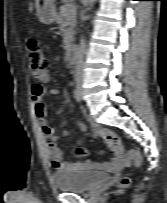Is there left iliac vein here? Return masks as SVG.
I'll return each instance as SVG.
<instances>
[{
	"label": "left iliac vein",
	"mask_w": 167,
	"mask_h": 203,
	"mask_svg": "<svg viewBox=\"0 0 167 203\" xmlns=\"http://www.w3.org/2000/svg\"><path fill=\"white\" fill-rule=\"evenodd\" d=\"M80 91V95L81 97L83 96V92H82V89L79 90Z\"/></svg>",
	"instance_id": "4c4485c4"
}]
</instances>
